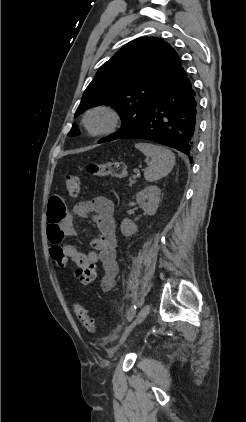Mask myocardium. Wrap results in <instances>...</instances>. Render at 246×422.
<instances>
[{
	"mask_svg": "<svg viewBox=\"0 0 246 422\" xmlns=\"http://www.w3.org/2000/svg\"><path fill=\"white\" fill-rule=\"evenodd\" d=\"M94 115H101L104 117L103 124L94 128L90 125L89 120ZM120 123L119 113L109 105H96L89 108L82 117V125L84 129L92 136L108 135L116 131Z\"/></svg>",
	"mask_w": 246,
	"mask_h": 422,
	"instance_id": "myocardium-1",
	"label": "myocardium"
}]
</instances>
